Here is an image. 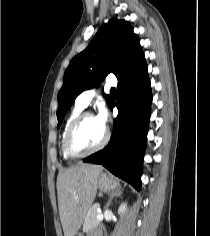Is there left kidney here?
<instances>
[{"label": "left kidney", "mask_w": 210, "mask_h": 236, "mask_svg": "<svg viewBox=\"0 0 210 236\" xmlns=\"http://www.w3.org/2000/svg\"><path fill=\"white\" fill-rule=\"evenodd\" d=\"M126 211V203H122L118 209L119 214H123Z\"/></svg>", "instance_id": "obj_1"}]
</instances>
